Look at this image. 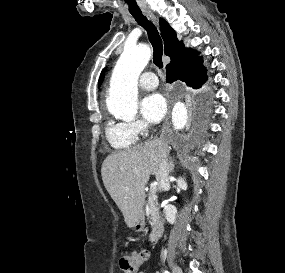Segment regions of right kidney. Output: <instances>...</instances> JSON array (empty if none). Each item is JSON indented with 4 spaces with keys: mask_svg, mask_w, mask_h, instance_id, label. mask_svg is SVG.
Here are the masks:
<instances>
[{
    "mask_svg": "<svg viewBox=\"0 0 285 273\" xmlns=\"http://www.w3.org/2000/svg\"><path fill=\"white\" fill-rule=\"evenodd\" d=\"M178 186L179 188L186 190L187 189V184L184 181V179L179 178L178 179ZM176 213H177V209L175 206L173 205H167L165 207V214H166V219L170 224H173L175 222L176 219Z\"/></svg>",
    "mask_w": 285,
    "mask_h": 273,
    "instance_id": "ca27d5eb",
    "label": "right kidney"
}]
</instances>
